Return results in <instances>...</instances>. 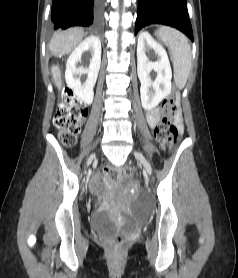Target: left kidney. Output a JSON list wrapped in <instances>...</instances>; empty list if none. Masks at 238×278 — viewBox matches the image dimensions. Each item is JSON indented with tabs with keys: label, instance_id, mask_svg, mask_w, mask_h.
Returning <instances> with one entry per match:
<instances>
[{
	"label": "left kidney",
	"instance_id": "left-kidney-1",
	"mask_svg": "<svg viewBox=\"0 0 238 278\" xmlns=\"http://www.w3.org/2000/svg\"><path fill=\"white\" fill-rule=\"evenodd\" d=\"M149 53L154 54L157 61H150L147 56ZM137 71L141 82L142 107L152 110L171 93L172 70L165 49L146 32L138 37ZM151 71L157 73L154 81L150 77ZM151 87L153 90H150Z\"/></svg>",
	"mask_w": 238,
	"mask_h": 278
}]
</instances>
